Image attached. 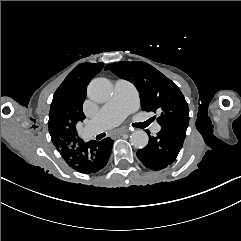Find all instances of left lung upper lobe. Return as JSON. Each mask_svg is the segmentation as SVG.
I'll list each match as a JSON object with an SVG mask.
<instances>
[{
  "instance_id": "5c2ea615",
  "label": "left lung upper lobe",
  "mask_w": 241,
  "mask_h": 241,
  "mask_svg": "<svg viewBox=\"0 0 241 241\" xmlns=\"http://www.w3.org/2000/svg\"><path fill=\"white\" fill-rule=\"evenodd\" d=\"M118 77L133 82L140 93L142 110L161 112L160 125L189 123L188 104L178 86L153 66L140 61H121L107 65Z\"/></svg>"
}]
</instances>
